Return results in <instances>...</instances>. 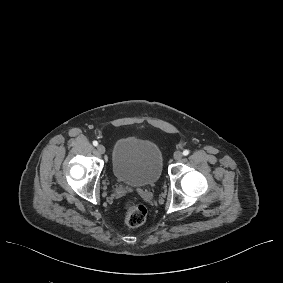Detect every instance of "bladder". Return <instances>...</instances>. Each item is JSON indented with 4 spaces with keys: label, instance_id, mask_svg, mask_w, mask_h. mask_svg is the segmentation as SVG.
Masks as SVG:
<instances>
[{
    "label": "bladder",
    "instance_id": "obj_1",
    "mask_svg": "<svg viewBox=\"0 0 283 283\" xmlns=\"http://www.w3.org/2000/svg\"><path fill=\"white\" fill-rule=\"evenodd\" d=\"M162 162L161 150L152 140L130 135L115 143L112 169L115 178L122 183L131 186L156 183Z\"/></svg>",
    "mask_w": 283,
    "mask_h": 283
}]
</instances>
